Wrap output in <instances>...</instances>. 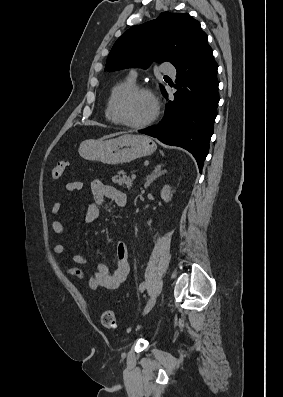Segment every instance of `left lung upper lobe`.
Listing matches in <instances>:
<instances>
[{
  "mask_svg": "<svg viewBox=\"0 0 283 397\" xmlns=\"http://www.w3.org/2000/svg\"><path fill=\"white\" fill-rule=\"evenodd\" d=\"M207 44L200 23L188 13L163 12L157 19L121 35L108 55L104 71L146 69L152 61H168L176 68Z\"/></svg>",
  "mask_w": 283,
  "mask_h": 397,
  "instance_id": "left-lung-upper-lobe-1",
  "label": "left lung upper lobe"
}]
</instances>
